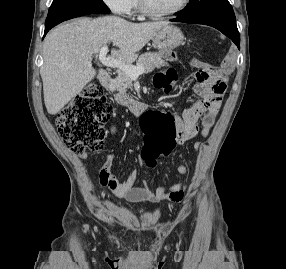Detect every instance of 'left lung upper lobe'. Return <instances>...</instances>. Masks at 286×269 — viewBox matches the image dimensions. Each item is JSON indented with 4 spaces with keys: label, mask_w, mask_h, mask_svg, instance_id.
Returning <instances> with one entry per match:
<instances>
[{
    "label": "left lung upper lobe",
    "mask_w": 286,
    "mask_h": 269,
    "mask_svg": "<svg viewBox=\"0 0 286 269\" xmlns=\"http://www.w3.org/2000/svg\"><path fill=\"white\" fill-rule=\"evenodd\" d=\"M182 19L222 18L236 20L228 0H190L189 6L180 11Z\"/></svg>",
    "instance_id": "5c2ea615"
}]
</instances>
